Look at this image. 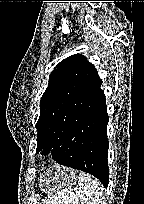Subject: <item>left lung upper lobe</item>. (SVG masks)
I'll use <instances>...</instances> for the list:
<instances>
[{
    "instance_id": "5c2ea615",
    "label": "left lung upper lobe",
    "mask_w": 144,
    "mask_h": 204,
    "mask_svg": "<svg viewBox=\"0 0 144 204\" xmlns=\"http://www.w3.org/2000/svg\"><path fill=\"white\" fill-rule=\"evenodd\" d=\"M97 76L93 64L82 54L72 55L57 64L40 101V117L36 123L37 153L43 149L48 154L63 141L70 122L86 99L88 86Z\"/></svg>"
}]
</instances>
